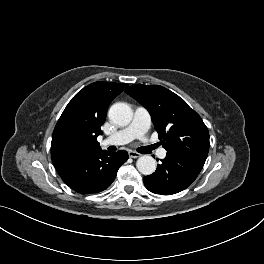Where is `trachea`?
I'll use <instances>...</instances> for the list:
<instances>
[{"mask_svg":"<svg viewBox=\"0 0 264 264\" xmlns=\"http://www.w3.org/2000/svg\"><path fill=\"white\" fill-rule=\"evenodd\" d=\"M153 148H156V146L154 145V146H152L151 148L143 147V148H140V149H139V152H147V151H149V150H151V149H153Z\"/></svg>","mask_w":264,"mask_h":264,"instance_id":"trachea-1","label":"trachea"}]
</instances>
